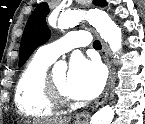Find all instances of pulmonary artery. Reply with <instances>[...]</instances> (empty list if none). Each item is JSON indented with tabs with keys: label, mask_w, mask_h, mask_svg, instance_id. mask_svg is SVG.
I'll return each instance as SVG.
<instances>
[{
	"label": "pulmonary artery",
	"mask_w": 145,
	"mask_h": 124,
	"mask_svg": "<svg viewBox=\"0 0 145 124\" xmlns=\"http://www.w3.org/2000/svg\"><path fill=\"white\" fill-rule=\"evenodd\" d=\"M89 42V37L85 31H73L55 42L42 46L37 51V54L53 62L61 54L78 47L88 46Z\"/></svg>",
	"instance_id": "pulmonary-artery-1"
}]
</instances>
